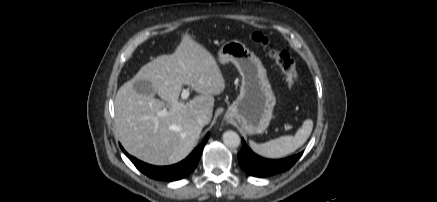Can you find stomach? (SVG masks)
<instances>
[{
	"instance_id": "stomach-1",
	"label": "stomach",
	"mask_w": 437,
	"mask_h": 202,
	"mask_svg": "<svg viewBox=\"0 0 437 202\" xmlns=\"http://www.w3.org/2000/svg\"><path fill=\"white\" fill-rule=\"evenodd\" d=\"M218 59L222 64L232 62L242 77L240 93L225 118L236 120L249 135L263 133L272 119L276 98L261 60L237 40L224 43Z\"/></svg>"
}]
</instances>
